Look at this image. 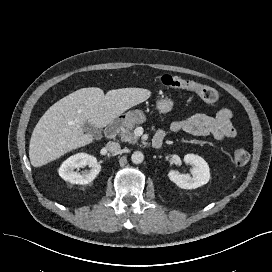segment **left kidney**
Returning <instances> with one entry per match:
<instances>
[{"label": "left kidney", "instance_id": "5707ae66", "mask_svg": "<svg viewBox=\"0 0 272 272\" xmlns=\"http://www.w3.org/2000/svg\"><path fill=\"white\" fill-rule=\"evenodd\" d=\"M186 164H193V177L189 174H181L178 171L170 170L169 179L182 189H196L207 184L210 180V169L208 163L200 156L186 154L184 156Z\"/></svg>", "mask_w": 272, "mask_h": 272}]
</instances>
